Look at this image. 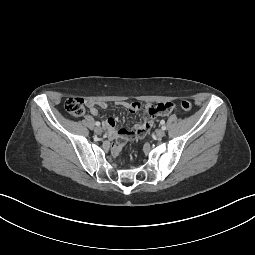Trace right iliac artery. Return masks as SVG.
Returning a JSON list of instances; mask_svg holds the SVG:
<instances>
[{"label":"right iliac artery","mask_w":255,"mask_h":255,"mask_svg":"<svg viewBox=\"0 0 255 255\" xmlns=\"http://www.w3.org/2000/svg\"><path fill=\"white\" fill-rule=\"evenodd\" d=\"M95 125L96 126H100V122H95Z\"/></svg>","instance_id":"82829eb1"}]
</instances>
